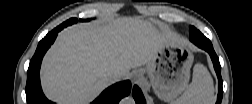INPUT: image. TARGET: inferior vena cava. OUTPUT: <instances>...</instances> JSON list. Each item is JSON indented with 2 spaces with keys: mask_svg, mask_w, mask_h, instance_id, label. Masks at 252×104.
<instances>
[{
  "mask_svg": "<svg viewBox=\"0 0 252 104\" xmlns=\"http://www.w3.org/2000/svg\"><path fill=\"white\" fill-rule=\"evenodd\" d=\"M106 77H107L110 81L116 82V81L122 79V78H123V75H122V73H120V72H108V73L106 74Z\"/></svg>",
  "mask_w": 252,
  "mask_h": 104,
  "instance_id": "1",
  "label": "inferior vena cava"
}]
</instances>
